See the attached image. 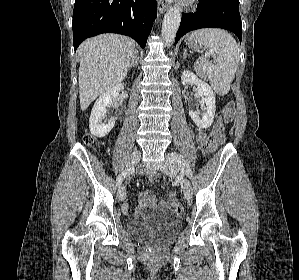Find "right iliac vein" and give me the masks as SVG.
Returning <instances> with one entry per match:
<instances>
[{
    "instance_id": "1",
    "label": "right iliac vein",
    "mask_w": 299,
    "mask_h": 280,
    "mask_svg": "<svg viewBox=\"0 0 299 280\" xmlns=\"http://www.w3.org/2000/svg\"><path fill=\"white\" fill-rule=\"evenodd\" d=\"M141 157V152L140 151H134L127 163V167L129 168H133L134 166H136L140 160ZM117 197L120 201H123L126 197V190L124 186H120L118 191H117Z\"/></svg>"
}]
</instances>
